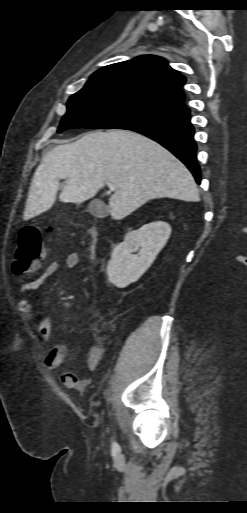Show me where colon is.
<instances>
[{"label":"colon","instance_id":"5ec220e1","mask_svg":"<svg viewBox=\"0 0 247 513\" xmlns=\"http://www.w3.org/2000/svg\"><path fill=\"white\" fill-rule=\"evenodd\" d=\"M41 231L34 226L21 229L12 261L14 274L21 275L36 269L43 258Z\"/></svg>","mask_w":247,"mask_h":513}]
</instances>
